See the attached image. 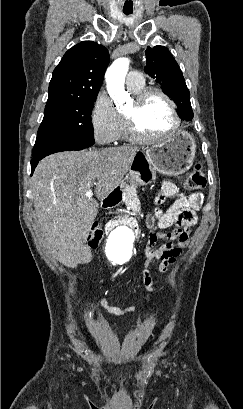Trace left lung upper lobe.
<instances>
[{"label": "left lung upper lobe", "mask_w": 243, "mask_h": 409, "mask_svg": "<svg viewBox=\"0 0 243 409\" xmlns=\"http://www.w3.org/2000/svg\"><path fill=\"white\" fill-rule=\"evenodd\" d=\"M145 72L162 86L163 92L174 100L179 109V116L192 120L194 114L190 103V93L182 71L164 46L147 47Z\"/></svg>", "instance_id": "5c2ea615"}]
</instances>
